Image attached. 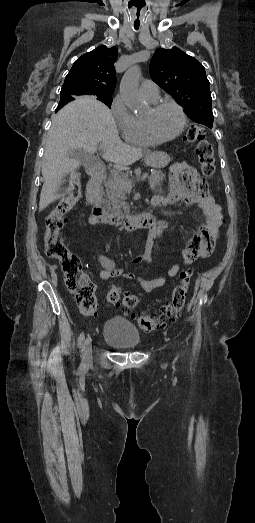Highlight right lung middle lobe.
Returning <instances> with one entry per match:
<instances>
[{
	"mask_svg": "<svg viewBox=\"0 0 255 523\" xmlns=\"http://www.w3.org/2000/svg\"><path fill=\"white\" fill-rule=\"evenodd\" d=\"M98 100H100L101 102L105 103L109 108H111V103H112V97L111 96H100L97 98ZM61 100H75V98H73L71 96V94L69 93H66V92H61Z\"/></svg>",
	"mask_w": 255,
	"mask_h": 523,
	"instance_id": "right-lung-middle-lobe-1",
	"label": "right lung middle lobe"
}]
</instances>
